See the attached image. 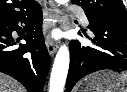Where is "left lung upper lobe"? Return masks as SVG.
Wrapping results in <instances>:
<instances>
[{"label": "left lung upper lobe", "mask_w": 127, "mask_h": 92, "mask_svg": "<svg viewBox=\"0 0 127 92\" xmlns=\"http://www.w3.org/2000/svg\"><path fill=\"white\" fill-rule=\"evenodd\" d=\"M81 6L90 17H100L127 21L122 0H71Z\"/></svg>", "instance_id": "left-lung-upper-lobe-1"}]
</instances>
